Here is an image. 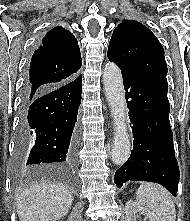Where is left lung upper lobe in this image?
Masks as SVG:
<instances>
[{"label": "left lung upper lobe", "mask_w": 190, "mask_h": 221, "mask_svg": "<svg viewBox=\"0 0 190 221\" xmlns=\"http://www.w3.org/2000/svg\"><path fill=\"white\" fill-rule=\"evenodd\" d=\"M108 58L124 73L167 83L164 49L140 22L123 20L117 26L109 43Z\"/></svg>", "instance_id": "1"}]
</instances>
